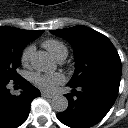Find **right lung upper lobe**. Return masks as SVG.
Here are the masks:
<instances>
[{
  "instance_id": "cb5924a9",
  "label": "right lung upper lobe",
  "mask_w": 128,
  "mask_h": 128,
  "mask_svg": "<svg viewBox=\"0 0 128 128\" xmlns=\"http://www.w3.org/2000/svg\"><path fill=\"white\" fill-rule=\"evenodd\" d=\"M43 33V30L29 31L14 27H0V37L18 38L27 41H33Z\"/></svg>"
}]
</instances>
